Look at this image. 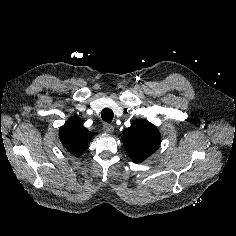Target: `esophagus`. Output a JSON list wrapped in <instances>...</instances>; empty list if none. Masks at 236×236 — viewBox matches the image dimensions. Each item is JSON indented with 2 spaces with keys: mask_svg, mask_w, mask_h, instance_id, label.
I'll return each instance as SVG.
<instances>
[{
  "mask_svg": "<svg viewBox=\"0 0 236 236\" xmlns=\"http://www.w3.org/2000/svg\"><path fill=\"white\" fill-rule=\"evenodd\" d=\"M103 130L106 133H112L114 131V127L110 124H104L103 125Z\"/></svg>",
  "mask_w": 236,
  "mask_h": 236,
  "instance_id": "esophagus-1",
  "label": "esophagus"
}]
</instances>
